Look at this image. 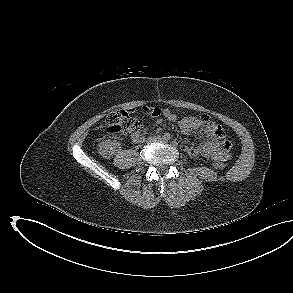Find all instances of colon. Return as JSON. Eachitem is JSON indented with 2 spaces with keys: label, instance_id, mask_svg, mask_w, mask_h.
I'll return each instance as SVG.
<instances>
[{
  "label": "colon",
  "instance_id": "colon-1",
  "mask_svg": "<svg viewBox=\"0 0 293 293\" xmlns=\"http://www.w3.org/2000/svg\"><path fill=\"white\" fill-rule=\"evenodd\" d=\"M104 127L109 135L123 134L131 136L141 127V121L125 111H118L108 115ZM213 165L218 170L225 168V164L221 161H216Z\"/></svg>",
  "mask_w": 293,
  "mask_h": 293
}]
</instances>
